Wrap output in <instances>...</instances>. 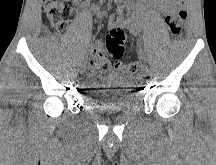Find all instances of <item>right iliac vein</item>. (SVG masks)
<instances>
[{"label":"right iliac vein","instance_id":"1","mask_svg":"<svg viewBox=\"0 0 216 165\" xmlns=\"http://www.w3.org/2000/svg\"><path fill=\"white\" fill-rule=\"evenodd\" d=\"M80 66H81V65H80ZM84 69H85V64H83V65L81 66V72H83Z\"/></svg>","mask_w":216,"mask_h":165}]
</instances>
